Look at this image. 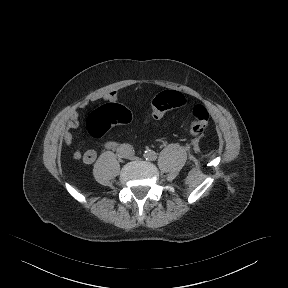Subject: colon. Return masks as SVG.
<instances>
[{
  "label": "colon",
  "mask_w": 288,
  "mask_h": 288,
  "mask_svg": "<svg viewBox=\"0 0 288 288\" xmlns=\"http://www.w3.org/2000/svg\"><path fill=\"white\" fill-rule=\"evenodd\" d=\"M184 104V98L179 92H166L158 96L152 104L151 114L154 119H161L171 110L177 109ZM194 119L189 131L192 135L203 134L208 121L207 111L198 107L193 112ZM131 119L130 112L117 104H106L95 108L87 119V130L91 137L102 138L116 124L128 123ZM93 151L84 153V160H90Z\"/></svg>",
  "instance_id": "1"
}]
</instances>
